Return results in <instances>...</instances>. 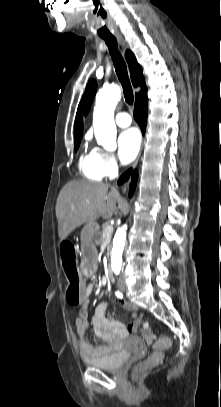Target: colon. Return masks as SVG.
<instances>
[{"label":"colon","mask_w":221,"mask_h":407,"mask_svg":"<svg viewBox=\"0 0 221 407\" xmlns=\"http://www.w3.org/2000/svg\"><path fill=\"white\" fill-rule=\"evenodd\" d=\"M62 263L69 280L68 291L66 293V306H82L85 294L82 291V283L79 278L76 260L72 247L69 243H63L61 247ZM142 334L147 342L151 343L154 351L146 360L135 367L136 374H141L147 369L157 365L163 358V350L168 349L171 342L166 337H158L148 325L142 327Z\"/></svg>","instance_id":"1"}]
</instances>
